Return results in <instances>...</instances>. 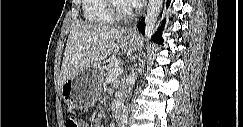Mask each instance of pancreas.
<instances>
[{
    "mask_svg": "<svg viewBox=\"0 0 243 127\" xmlns=\"http://www.w3.org/2000/svg\"><path fill=\"white\" fill-rule=\"evenodd\" d=\"M120 66V61L119 60H112L105 68V73H104V76L106 78L109 77L110 75V72L116 68H119Z\"/></svg>",
    "mask_w": 243,
    "mask_h": 127,
    "instance_id": "cf45deb5",
    "label": "pancreas"
}]
</instances>
